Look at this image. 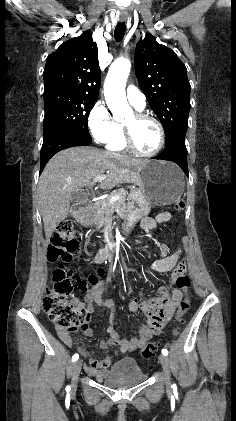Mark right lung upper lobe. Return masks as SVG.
I'll return each mask as SVG.
<instances>
[{"label": "right lung upper lobe", "mask_w": 236, "mask_h": 421, "mask_svg": "<svg viewBox=\"0 0 236 421\" xmlns=\"http://www.w3.org/2000/svg\"><path fill=\"white\" fill-rule=\"evenodd\" d=\"M43 77L44 91L63 90L97 98L101 76L97 45L91 32H83L51 53Z\"/></svg>", "instance_id": "1"}]
</instances>
